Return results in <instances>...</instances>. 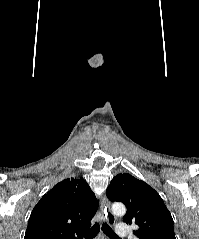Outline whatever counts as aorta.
Wrapping results in <instances>:
<instances>
[{
    "label": "aorta",
    "mask_w": 199,
    "mask_h": 239,
    "mask_svg": "<svg viewBox=\"0 0 199 239\" xmlns=\"http://www.w3.org/2000/svg\"><path fill=\"white\" fill-rule=\"evenodd\" d=\"M112 211L116 215H124L126 213V208L123 204L121 203H114L112 205Z\"/></svg>",
    "instance_id": "762f6f07"
}]
</instances>
